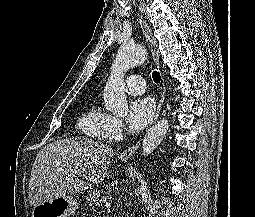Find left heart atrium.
<instances>
[{"instance_id":"left-heart-atrium-1","label":"left heart atrium","mask_w":255,"mask_h":217,"mask_svg":"<svg viewBox=\"0 0 255 217\" xmlns=\"http://www.w3.org/2000/svg\"><path fill=\"white\" fill-rule=\"evenodd\" d=\"M154 104L150 98H136L129 104L127 125L132 133L141 131L151 120Z\"/></svg>"}]
</instances>
